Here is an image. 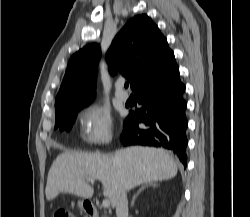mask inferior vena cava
Listing matches in <instances>:
<instances>
[{
  "label": "inferior vena cava",
  "instance_id": "obj_1",
  "mask_svg": "<svg viewBox=\"0 0 250 217\" xmlns=\"http://www.w3.org/2000/svg\"><path fill=\"white\" fill-rule=\"evenodd\" d=\"M116 216L117 217H128V199L126 189L120 190L117 204H116Z\"/></svg>",
  "mask_w": 250,
  "mask_h": 217
}]
</instances>
